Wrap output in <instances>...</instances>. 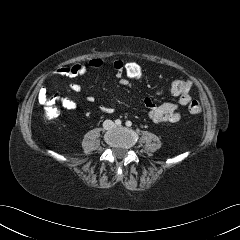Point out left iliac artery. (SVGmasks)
Wrapping results in <instances>:
<instances>
[{"mask_svg":"<svg viewBox=\"0 0 240 240\" xmlns=\"http://www.w3.org/2000/svg\"><path fill=\"white\" fill-rule=\"evenodd\" d=\"M132 125V122L131 121H127L126 122V126L130 127Z\"/></svg>","mask_w":240,"mask_h":240,"instance_id":"left-iliac-artery-1","label":"left iliac artery"}]
</instances>
